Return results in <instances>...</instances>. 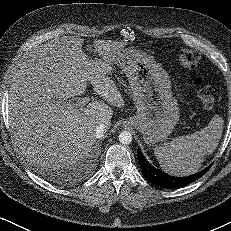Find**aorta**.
Segmentation results:
<instances>
[{
  "mask_svg": "<svg viewBox=\"0 0 231 231\" xmlns=\"http://www.w3.org/2000/svg\"><path fill=\"white\" fill-rule=\"evenodd\" d=\"M119 141L122 143V144H130L132 142V135L130 132L128 131H122L120 134H119Z\"/></svg>",
  "mask_w": 231,
  "mask_h": 231,
  "instance_id": "1",
  "label": "aorta"
}]
</instances>
